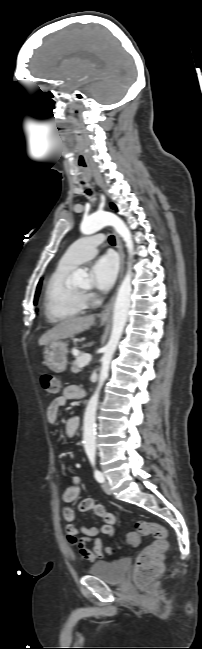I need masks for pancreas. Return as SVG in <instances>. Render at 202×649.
Listing matches in <instances>:
<instances>
[{
  "mask_svg": "<svg viewBox=\"0 0 202 649\" xmlns=\"http://www.w3.org/2000/svg\"><path fill=\"white\" fill-rule=\"evenodd\" d=\"M83 355H85V354H83ZM71 371H72L73 373H76V374L79 373V372H81V367L79 366V361H78V359L75 360V361L72 363Z\"/></svg>",
  "mask_w": 202,
  "mask_h": 649,
  "instance_id": "pancreas-1",
  "label": "pancreas"
}]
</instances>
